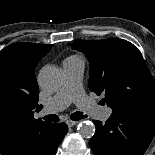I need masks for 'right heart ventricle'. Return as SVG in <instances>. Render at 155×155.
<instances>
[{"label":"right heart ventricle","mask_w":155,"mask_h":155,"mask_svg":"<svg viewBox=\"0 0 155 155\" xmlns=\"http://www.w3.org/2000/svg\"><path fill=\"white\" fill-rule=\"evenodd\" d=\"M70 57H73V58H79L78 56H70Z\"/></svg>","instance_id":"right-heart-ventricle-1"}]
</instances>
